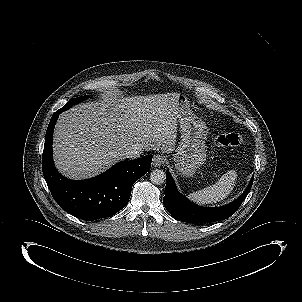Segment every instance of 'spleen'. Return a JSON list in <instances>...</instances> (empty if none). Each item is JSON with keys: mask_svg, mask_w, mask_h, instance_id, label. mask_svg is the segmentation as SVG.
I'll use <instances>...</instances> for the list:
<instances>
[{"mask_svg": "<svg viewBox=\"0 0 302 302\" xmlns=\"http://www.w3.org/2000/svg\"><path fill=\"white\" fill-rule=\"evenodd\" d=\"M236 178V171L229 170L215 184L190 193L188 199L201 205L220 202L232 192Z\"/></svg>", "mask_w": 302, "mask_h": 302, "instance_id": "3e777b00", "label": "spleen"}]
</instances>
